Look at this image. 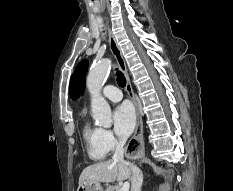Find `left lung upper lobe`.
Here are the masks:
<instances>
[{
	"mask_svg": "<svg viewBox=\"0 0 233 191\" xmlns=\"http://www.w3.org/2000/svg\"><path fill=\"white\" fill-rule=\"evenodd\" d=\"M88 61L87 60H83L81 61L72 77L70 80V96L73 100H76L77 98H79V96L81 94H83L84 92V82H85V74L87 72L88 69Z\"/></svg>",
	"mask_w": 233,
	"mask_h": 191,
	"instance_id": "obj_1",
	"label": "left lung upper lobe"
}]
</instances>
